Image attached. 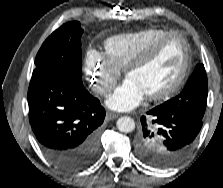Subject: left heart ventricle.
<instances>
[{
	"mask_svg": "<svg viewBox=\"0 0 223 188\" xmlns=\"http://www.w3.org/2000/svg\"><path fill=\"white\" fill-rule=\"evenodd\" d=\"M185 55L179 37L167 39L145 63L130 72L128 78L145 93L153 94L171 85L178 77Z\"/></svg>",
	"mask_w": 223,
	"mask_h": 188,
	"instance_id": "b2bd125f",
	"label": "left heart ventricle"
}]
</instances>
